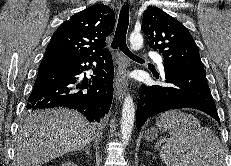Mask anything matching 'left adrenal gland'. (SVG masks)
<instances>
[{"label": "left adrenal gland", "instance_id": "a2214340", "mask_svg": "<svg viewBox=\"0 0 231 166\" xmlns=\"http://www.w3.org/2000/svg\"><path fill=\"white\" fill-rule=\"evenodd\" d=\"M146 155H152V153L151 152H147Z\"/></svg>", "mask_w": 231, "mask_h": 166}]
</instances>
